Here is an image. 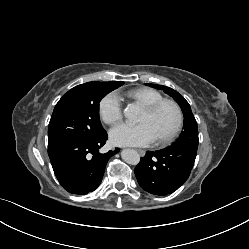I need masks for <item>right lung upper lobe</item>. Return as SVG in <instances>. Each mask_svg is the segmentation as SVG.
<instances>
[{"label":"right lung upper lobe","mask_w":249,"mask_h":249,"mask_svg":"<svg viewBox=\"0 0 249 249\" xmlns=\"http://www.w3.org/2000/svg\"><path fill=\"white\" fill-rule=\"evenodd\" d=\"M100 84H103V85H106V86H109V87H113V88H118L120 87L121 85H123L124 83L121 82V81H110V82H98ZM76 87L72 88L71 90H69L63 97H66L68 96L69 94H71L74 90H75Z\"/></svg>","instance_id":"right-lung-upper-lobe-1"}]
</instances>
